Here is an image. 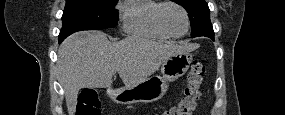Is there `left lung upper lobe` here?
I'll return each mask as SVG.
<instances>
[{
  "label": "left lung upper lobe",
  "instance_id": "obj_1",
  "mask_svg": "<svg viewBox=\"0 0 285 115\" xmlns=\"http://www.w3.org/2000/svg\"><path fill=\"white\" fill-rule=\"evenodd\" d=\"M182 5L189 14L191 23V37L214 36L210 22V10L205 0H174Z\"/></svg>",
  "mask_w": 285,
  "mask_h": 115
}]
</instances>
